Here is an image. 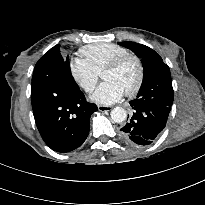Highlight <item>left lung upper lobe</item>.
<instances>
[{
    "instance_id": "obj_1",
    "label": "left lung upper lobe",
    "mask_w": 205,
    "mask_h": 205,
    "mask_svg": "<svg viewBox=\"0 0 205 205\" xmlns=\"http://www.w3.org/2000/svg\"><path fill=\"white\" fill-rule=\"evenodd\" d=\"M119 45L132 50L142 59L144 77L135 101L150 104L171 106L174 91L169 67L151 48L135 42H118Z\"/></svg>"
}]
</instances>
